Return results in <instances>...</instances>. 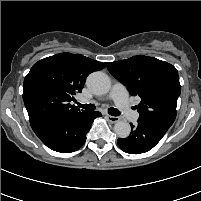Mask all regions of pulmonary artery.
Masks as SVG:
<instances>
[{"mask_svg":"<svg viewBox=\"0 0 201 201\" xmlns=\"http://www.w3.org/2000/svg\"><path fill=\"white\" fill-rule=\"evenodd\" d=\"M109 98L114 101L118 109L121 111L123 116L130 122H136L139 118V113L132 110L126 87L117 82L115 83L110 91Z\"/></svg>","mask_w":201,"mask_h":201,"instance_id":"pulmonary-artery-1","label":"pulmonary artery"}]
</instances>
